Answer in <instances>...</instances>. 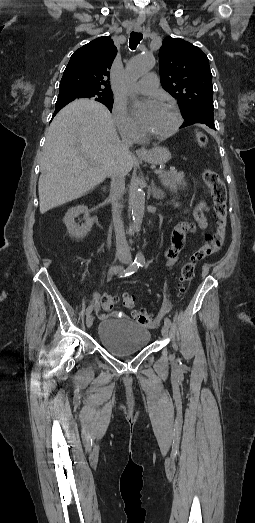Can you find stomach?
Instances as JSON below:
<instances>
[{"label": "stomach", "instance_id": "obj_1", "mask_svg": "<svg viewBox=\"0 0 255 523\" xmlns=\"http://www.w3.org/2000/svg\"><path fill=\"white\" fill-rule=\"evenodd\" d=\"M138 158L148 162V164H154V166H159V164H166L170 160V152L162 146H155L152 150H144L139 154Z\"/></svg>", "mask_w": 255, "mask_h": 523}]
</instances>
